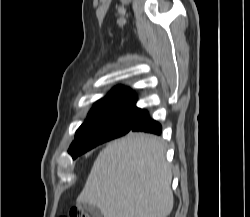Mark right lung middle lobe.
<instances>
[{
    "label": "right lung middle lobe",
    "instance_id": "obj_1",
    "mask_svg": "<svg viewBox=\"0 0 250 217\" xmlns=\"http://www.w3.org/2000/svg\"><path fill=\"white\" fill-rule=\"evenodd\" d=\"M139 114L140 109L133 106L89 115L76 131L69 153L76 158L99 144L127 134Z\"/></svg>",
    "mask_w": 250,
    "mask_h": 217
}]
</instances>
